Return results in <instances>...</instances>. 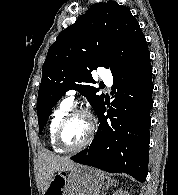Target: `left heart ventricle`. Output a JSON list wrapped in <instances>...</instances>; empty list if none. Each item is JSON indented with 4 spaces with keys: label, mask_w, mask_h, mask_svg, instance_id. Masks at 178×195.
I'll use <instances>...</instances> for the list:
<instances>
[{
    "label": "left heart ventricle",
    "mask_w": 178,
    "mask_h": 195,
    "mask_svg": "<svg viewBox=\"0 0 178 195\" xmlns=\"http://www.w3.org/2000/svg\"><path fill=\"white\" fill-rule=\"evenodd\" d=\"M89 133L88 120L85 117H75L70 120L62 134V141L68 147H76L83 143Z\"/></svg>",
    "instance_id": "left-heart-ventricle-1"
}]
</instances>
